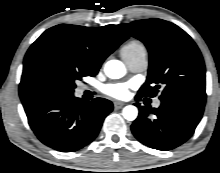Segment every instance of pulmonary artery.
I'll return each instance as SVG.
<instances>
[{
  "label": "pulmonary artery",
  "instance_id": "pulmonary-artery-1",
  "mask_svg": "<svg viewBox=\"0 0 220 173\" xmlns=\"http://www.w3.org/2000/svg\"><path fill=\"white\" fill-rule=\"evenodd\" d=\"M129 69L133 72H141L146 68V54L138 53L129 57H123ZM154 107L160 106V101L155 100Z\"/></svg>",
  "mask_w": 220,
  "mask_h": 173
}]
</instances>
